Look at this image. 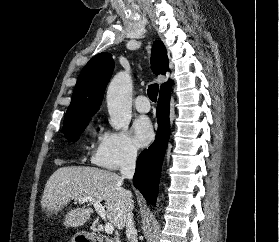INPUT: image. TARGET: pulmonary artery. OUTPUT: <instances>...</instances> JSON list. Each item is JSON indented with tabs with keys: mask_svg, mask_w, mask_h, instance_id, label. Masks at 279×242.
Masks as SVG:
<instances>
[{
	"mask_svg": "<svg viewBox=\"0 0 279 242\" xmlns=\"http://www.w3.org/2000/svg\"><path fill=\"white\" fill-rule=\"evenodd\" d=\"M135 107L140 113H146L151 108L148 98L144 95H139L136 98Z\"/></svg>",
	"mask_w": 279,
	"mask_h": 242,
	"instance_id": "obj_1",
	"label": "pulmonary artery"
}]
</instances>
